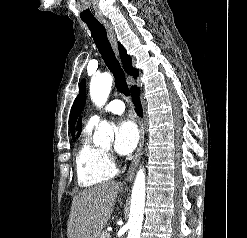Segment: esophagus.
I'll return each instance as SVG.
<instances>
[{"label":"esophagus","mask_w":247,"mask_h":238,"mask_svg":"<svg viewBox=\"0 0 247 238\" xmlns=\"http://www.w3.org/2000/svg\"><path fill=\"white\" fill-rule=\"evenodd\" d=\"M101 23L104 25V27L107 30V34H108V38L112 44L113 49L115 50L116 53H118V48H117V41H116V37L113 31V27L112 25L105 19L101 20ZM138 126H139V144H138V148L137 151L134 155V158L130 164V167L128 169L125 181H131L134 177L135 171L137 169V166L139 164L141 155H142V149H143V143H144V124L143 121L138 118Z\"/></svg>","instance_id":"34e87169"}]
</instances>
